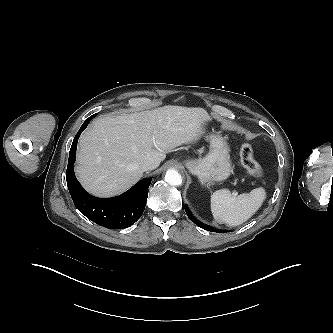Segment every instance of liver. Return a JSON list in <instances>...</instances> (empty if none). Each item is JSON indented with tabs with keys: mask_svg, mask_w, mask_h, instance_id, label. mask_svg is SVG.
Masks as SVG:
<instances>
[{
	"mask_svg": "<svg viewBox=\"0 0 333 333\" xmlns=\"http://www.w3.org/2000/svg\"><path fill=\"white\" fill-rule=\"evenodd\" d=\"M208 121L202 110L179 106L100 116L79 139L78 180L93 195H118L142 177L143 161L160 164L165 153L198 140Z\"/></svg>",
	"mask_w": 333,
	"mask_h": 333,
	"instance_id": "6515ba94",
	"label": "liver"
}]
</instances>
